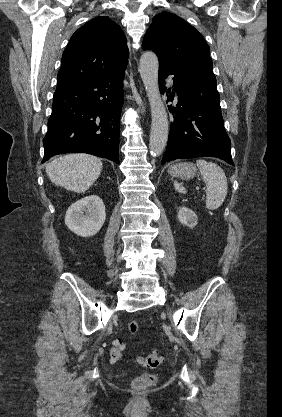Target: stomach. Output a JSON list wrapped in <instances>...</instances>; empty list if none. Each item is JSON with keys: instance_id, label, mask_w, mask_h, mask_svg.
Listing matches in <instances>:
<instances>
[{"instance_id": "stomach-1", "label": "stomach", "mask_w": 282, "mask_h": 417, "mask_svg": "<svg viewBox=\"0 0 282 417\" xmlns=\"http://www.w3.org/2000/svg\"><path fill=\"white\" fill-rule=\"evenodd\" d=\"M196 166L192 162H176L169 166L168 172L171 176H179V178H193L196 174Z\"/></svg>"}]
</instances>
